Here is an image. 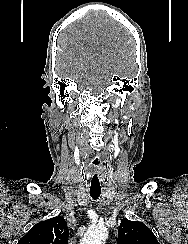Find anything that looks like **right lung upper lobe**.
<instances>
[{
  "instance_id": "cb5924a9",
  "label": "right lung upper lobe",
  "mask_w": 188,
  "mask_h": 244,
  "mask_svg": "<svg viewBox=\"0 0 188 244\" xmlns=\"http://www.w3.org/2000/svg\"><path fill=\"white\" fill-rule=\"evenodd\" d=\"M68 237L66 221L58 216L34 225L17 244H67Z\"/></svg>"
}]
</instances>
